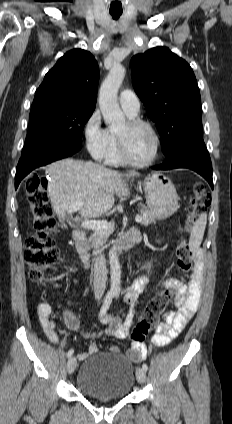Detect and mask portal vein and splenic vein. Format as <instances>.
I'll return each mask as SVG.
<instances>
[{
	"label": "portal vein and splenic vein",
	"instance_id": "obj_1",
	"mask_svg": "<svg viewBox=\"0 0 232 424\" xmlns=\"http://www.w3.org/2000/svg\"><path fill=\"white\" fill-rule=\"evenodd\" d=\"M82 206H83V202H75L69 205L67 211L69 213H72L79 210ZM135 221L139 223L141 221V217L136 216ZM81 226L86 229H94V230L112 229L111 223L107 222L106 220H84L81 222Z\"/></svg>",
	"mask_w": 232,
	"mask_h": 424
}]
</instances>
